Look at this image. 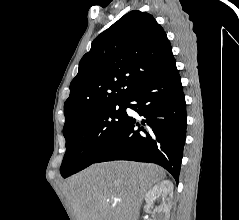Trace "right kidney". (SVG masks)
<instances>
[{
    "instance_id": "1",
    "label": "right kidney",
    "mask_w": 239,
    "mask_h": 220,
    "mask_svg": "<svg viewBox=\"0 0 239 220\" xmlns=\"http://www.w3.org/2000/svg\"><path fill=\"white\" fill-rule=\"evenodd\" d=\"M173 196V183L169 180L155 184L145 195L148 208H153L156 200L160 205L153 209L152 220H169Z\"/></svg>"
}]
</instances>
